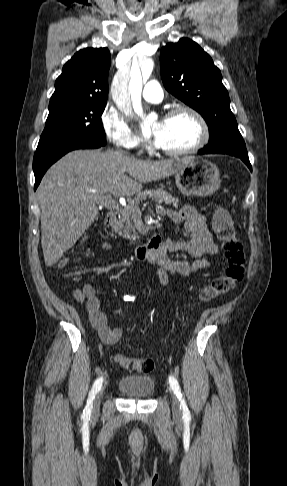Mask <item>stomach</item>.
I'll return each mask as SVG.
<instances>
[{"label": "stomach", "mask_w": 287, "mask_h": 486, "mask_svg": "<svg viewBox=\"0 0 287 486\" xmlns=\"http://www.w3.org/2000/svg\"><path fill=\"white\" fill-rule=\"evenodd\" d=\"M175 183L181 193L187 196H209L221 184L218 167L212 162L191 158L175 173Z\"/></svg>", "instance_id": "obj_1"}]
</instances>
